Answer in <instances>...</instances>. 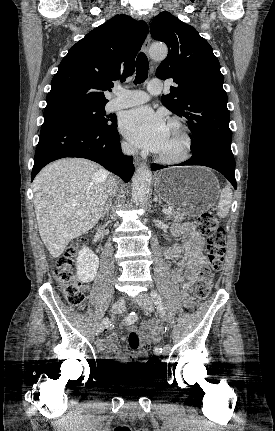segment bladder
Here are the masks:
<instances>
[{"instance_id": "1", "label": "bladder", "mask_w": 275, "mask_h": 431, "mask_svg": "<svg viewBox=\"0 0 275 431\" xmlns=\"http://www.w3.org/2000/svg\"><path fill=\"white\" fill-rule=\"evenodd\" d=\"M110 367H118V368H111L114 373L131 371L134 374V373H137L139 370L143 369V366H138V364H126L124 366H110Z\"/></svg>"}]
</instances>
